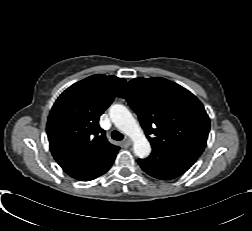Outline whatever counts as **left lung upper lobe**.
I'll return each mask as SVG.
<instances>
[{
	"mask_svg": "<svg viewBox=\"0 0 252 231\" xmlns=\"http://www.w3.org/2000/svg\"><path fill=\"white\" fill-rule=\"evenodd\" d=\"M119 97L136 112L153 148H180L202 154L210 120L191 92L161 77L135 78Z\"/></svg>",
	"mask_w": 252,
	"mask_h": 231,
	"instance_id": "1",
	"label": "left lung upper lobe"
}]
</instances>
